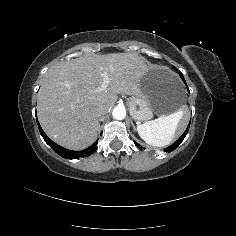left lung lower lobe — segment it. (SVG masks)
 Here are the masks:
<instances>
[{
	"label": "left lung lower lobe",
	"mask_w": 236,
	"mask_h": 236,
	"mask_svg": "<svg viewBox=\"0 0 236 236\" xmlns=\"http://www.w3.org/2000/svg\"><path fill=\"white\" fill-rule=\"evenodd\" d=\"M180 77L182 78L183 82L186 84V81L181 73H180ZM186 86H187V84H186ZM187 90L189 91L188 88H187ZM189 126H190V124H189ZM189 126L187 127L186 131L182 134V136L176 142H174L171 146L167 147V149L165 150L166 152H172L173 150H175L179 146V144L184 140L185 136L187 135L188 130H189ZM134 143L138 148H140V145L138 143H136L135 141H134Z\"/></svg>",
	"instance_id": "0a47b994"
}]
</instances>
